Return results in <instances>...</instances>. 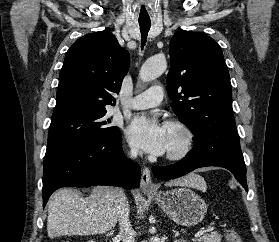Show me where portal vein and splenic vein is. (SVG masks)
Listing matches in <instances>:
<instances>
[{
  "mask_svg": "<svg viewBox=\"0 0 279 242\" xmlns=\"http://www.w3.org/2000/svg\"><path fill=\"white\" fill-rule=\"evenodd\" d=\"M204 230H199L194 236L197 237H201L204 234Z\"/></svg>",
  "mask_w": 279,
  "mask_h": 242,
  "instance_id": "18ae733b",
  "label": "portal vein and splenic vein"
}]
</instances>
